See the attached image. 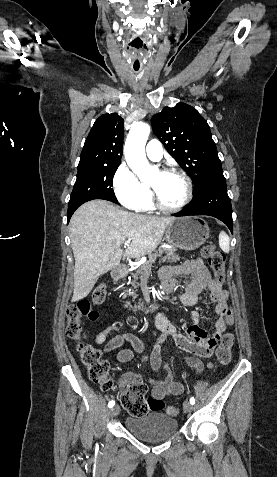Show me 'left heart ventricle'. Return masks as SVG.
<instances>
[{"instance_id": "b2bd125f", "label": "left heart ventricle", "mask_w": 277, "mask_h": 477, "mask_svg": "<svg viewBox=\"0 0 277 477\" xmlns=\"http://www.w3.org/2000/svg\"><path fill=\"white\" fill-rule=\"evenodd\" d=\"M162 202L167 206L179 205L186 194V186L183 179L175 174L157 172L150 181Z\"/></svg>"}]
</instances>
